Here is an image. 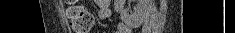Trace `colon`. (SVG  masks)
<instances>
[{"mask_svg": "<svg viewBox=\"0 0 235 33\" xmlns=\"http://www.w3.org/2000/svg\"><path fill=\"white\" fill-rule=\"evenodd\" d=\"M67 17L75 33H89L93 25V15L83 5L72 4L67 9Z\"/></svg>", "mask_w": 235, "mask_h": 33, "instance_id": "1", "label": "colon"}]
</instances>
